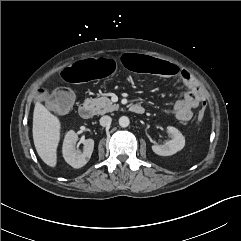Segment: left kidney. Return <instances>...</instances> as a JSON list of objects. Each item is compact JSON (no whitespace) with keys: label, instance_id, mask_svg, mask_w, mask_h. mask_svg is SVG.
Listing matches in <instances>:
<instances>
[{"label":"left kidney","instance_id":"obj_1","mask_svg":"<svg viewBox=\"0 0 241 241\" xmlns=\"http://www.w3.org/2000/svg\"><path fill=\"white\" fill-rule=\"evenodd\" d=\"M167 130L173 136V139L163 145H153L152 150L157 155L170 156L182 150L185 146V138L177 128L168 126Z\"/></svg>","mask_w":241,"mask_h":241}]
</instances>
